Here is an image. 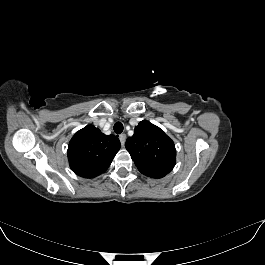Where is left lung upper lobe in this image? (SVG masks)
I'll list each match as a JSON object with an SVG mask.
<instances>
[{
  "label": "left lung upper lobe",
  "mask_w": 265,
  "mask_h": 265,
  "mask_svg": "<svg viewBox=\"0 0 265 265\" xmlns=\"http://www.w3.org/2000/svg\"><path fill=\"white\" fill-rule=\"evenodd\" d=\"M125 147L138 170L151 178H162L175 166L174 142L157 126L143 120L127 138Z\"/></svg>",
  "instance_id": "obj_1"
}]
</instances>
